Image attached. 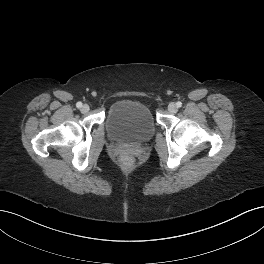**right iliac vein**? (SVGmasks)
I'll list each match as a JSON object with an SVG mask.
<instances>
[{"mask_svg":"<svg viewBox=\"0 0 264 264\" xmlns=\"http://www.w3.org/2000/svg\"><path fill=\"white\" fill-rule=\"evenodd\" d=\"M81 111H82L83 113L88 112V111H89V106H88L87 104H84V105L82 106V108H81Z\"/></svg>","mask_w":264,"mask_h":264,"instance_id":"obj_1","label":"right iliac vein"}]
</instances>
